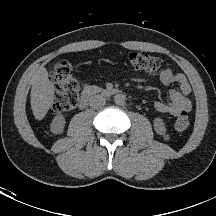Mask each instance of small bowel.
Listing matches in <instances>:
<instances>
[{
	"mask_svg": "<svg viewBox=\"0 0 216 216\" xmlns=\"http://www.w3.org/2000/svg\"><path fill=\"white\" fill-rule=\"evenodd\" d=\"M158 77L163 85L171 86L177 84L178 88L170 89L167 102L156 101L154 103L155 110L173 116L191 111L192 102L189 99L191 85L186 76L182 73L174 72L171 68H166L158 73Z\"/></svg>",
	"mask_w": 216,
	"mask_h": 216,
	"instance_id": "c3829d8e",
	"label": "small bowel"
}]
</instances>
